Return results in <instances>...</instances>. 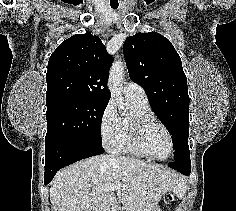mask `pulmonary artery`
Instances as JSON below:
<instances>
[{
    "mask_svg": "<svg viewBox=\"0 0 236 211\" xmlns=\"http://www.w3.org/2000/svg\"><path fill=\"white\" fill-rule=\"evenodd\" d=\"M125 97L129 100H135L141 103H147V97L144 89L134 82L126 83L124 87Z\"/></svg>",
    "mask_w": 236,
    "mask_h": 211,
    "instance_id": "obj_1",
    "label": "pulmonary artery"
}]
</instances>
